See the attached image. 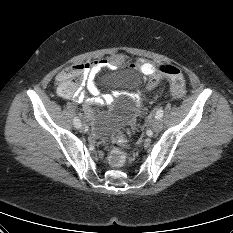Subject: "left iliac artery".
Segmentation results:
<instances>
[{"label": "left iliac artery", "mask_w": 233, "mask_h": 233, "mask_svg": "<svg viewBox=\"0 0 233 233\" xmlns=\"http://www.w3.org/2000/svg\"><path fill=\"white\" fill-rule=\"evenodd\" d=\"M162 117H163V109L160 108V109L157 110L155 118L156 119H161Z\"/></svg>", "instance_id": "left-iliac-artery-1"}]
</instances>
